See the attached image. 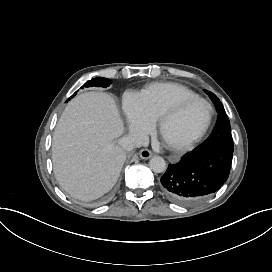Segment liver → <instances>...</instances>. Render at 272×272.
Listing matches in <instances>:
<instances>
[{
	"instance_id": "obj_1",
	"label": "liver",
	"mask_w": 272,
	"mask_h": 272,
	"mask_svg": "<svg viewBox=\"0 0 272 272\" xmlns=\"http://www.w3.org/2000/svg\"><path fill=\"white\" fill-rule=\"evenodd\" d=\"M123 123L113 99L89 92L75 97L62 113L54 131V174L72 197L97 199L115 185L126 152L115 140Z\"/></svg>"
}]
</instances>
